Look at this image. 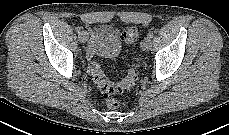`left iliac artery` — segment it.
<instances>
[{"label": "left iliac artery", "mask_w": 229, "mask_h": 135, "mask_svg": "<svg viewBox=\"0 0 229 135\" xmlns=\"http://www.w3.org/2000/svg\"><path fill=\"white\" fill-rule=\"evenodd\" d=\"M153 36H154V33H153V32H149V33L147 34V37H148V38H153Z\"/></svg>", "instance_id": "1"}]
</instances>
